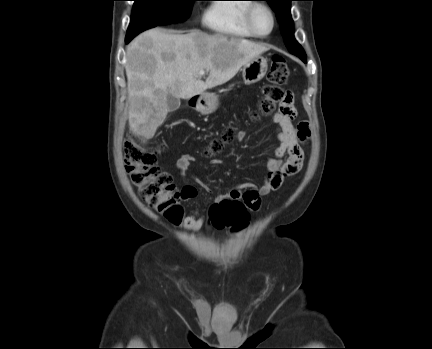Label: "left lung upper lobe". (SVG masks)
Returning <instances> with one entry per match:
<instances>
[{"mask_svg":"<svg viewBox=\"0 0 432 349\" xmlns=\"http://www.w3.org/2000/svg\"><path fill=\"white\" fill-rule=\"evenodd\" d=\"M276 12L280 24L281 34L285 45L290 53L298 56L301 60H306V54L300 44L295 40L293 34V20L290 14V2L293 0H265Z\"/></svg>","mask_w":432,"mask_h":349,"instance_id":"5c2ea615","label":"left lung upper lobe"}]
</instances>
